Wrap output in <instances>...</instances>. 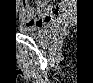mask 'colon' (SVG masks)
Listing matches in <instances>:
<instances>
[{
  "mask_svg": "<svg viewBox=\"0 0 93 83\" xmlns=\"http://www.w3.org/2000/svg\"><path fill=\"white\" fill-rule=\"evenodd\" d=\"M57 3L56 6H38L43 2L41 1H27L29 7L24 10L27 15V21L34 22L35 24L39 25H46L49 23L54 22L60 16L62 12L67 10L68 5L71 2H61V1H53Z\"/></svg>",
  "mask_w": 93,
  "mask_h": 83,
  "instance_id": "colon-1",
  "label": "colon"
}]
</instances>
